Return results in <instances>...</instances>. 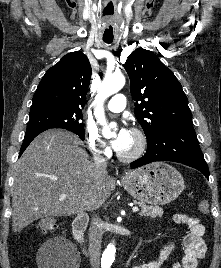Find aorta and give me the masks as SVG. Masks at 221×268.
Masks as SVG:
<instances>
[{
    "mask_svg": "<svg viewBox=\"0 0 221 268\" xmlns=\"http://www.w3.org/2000/svg\"><path fill=\"white\" fill-rule=\"evenodd\" d=\"M125 85V77L122 74H115L111 76H107L101 83L98 94L95 99L96 109L95 116L100 125L103 126L102 134L105 137L111 135V127L107 124L103 104L104 101L111 95L120 91ZM115 246L113 244H109L104 252V259L108 264H111L115 257Z\"/></svg>",
    "mask_w": 221,
    "mask_h": 268,
    "instance_id": "aorta-1",
    "label": "aorta"
}]
</instances>
